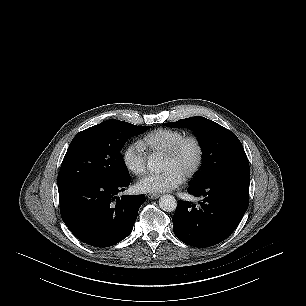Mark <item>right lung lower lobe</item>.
<instances>
[{
	"mask_svg": "<svg viewBox=\"0 0 306 306\" xmlns=\"http://www.w3.org/2000/svg\"><path fill=\"white\" fill-rule=\"evenodd\" d=\"M129 184L130 177L120 181L92 178L59 189L64 223L88 245L117 244L131 233L138 210L145 202L143 194L117 197Z\"/></svg>",
	"mask_w": 306,
	"mask_h": 306,
	"instance_id": "right-lung-lower-lobe-1",
	"label": "right lung lower lobe"
}]
</instances>
